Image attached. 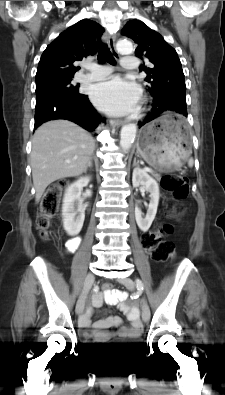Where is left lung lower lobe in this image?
Instances as JSON below:
<instances>
[{"instance_id": "0a47b994", "label": "left lung lower lobe", "mask_w": 225, "mask_h": 395, "mask_svg": "<svg viewBox=\"0 0 225 395\" xmlns=\"http://www.w3.org/2000/svg\"><path fill=\"white\" fill-rule=\"evenodd\" d=\"M153 108L151 112L148 113L144 121L139 122V128L145 123L158 117L165 111H174L183 116H187L186 99L182 96H172V97H153Z\"/></svg>"}]
</instances>
